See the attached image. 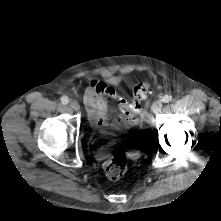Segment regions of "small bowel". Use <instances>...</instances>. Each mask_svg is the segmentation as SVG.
<instances>
[{"label": "small bowel", "mask_w": 221, "mask_h": 221, "mask_svg": "<svg viewBox=\"0 0 221 221\" xmlns=\"http://www.w3.org/2000/svg\"><path fill=\"white\" fill-rule=\"evenodd\" d=\"M116 97L114 89L103 82L93 81L85 90L84 103L90 122L105 135L128 129L137 121L136 113L128 110V103L123 99H119L118 117L111 119L109 100Z\"/></svg>", "instance_id": "obj_1"}]
</instances>
